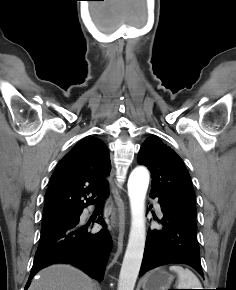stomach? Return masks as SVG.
<instances>
[{
    "label": "stomach",
    "instance_id": "obj_1",
    "mask_svg": "<svg viewBox=\"0 0 236 290\" xmlns=\"http://www.w3.org/2000/svg\"><path fill=\"white\" fill-rule=\"evenodd\" d=\"M174 276L165 268H158L147 273L142 280L143 290H168Z\"/></svg>",
    "mask_w": 236,
    "mask_h": 290
}]
</instances>
